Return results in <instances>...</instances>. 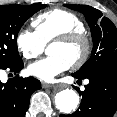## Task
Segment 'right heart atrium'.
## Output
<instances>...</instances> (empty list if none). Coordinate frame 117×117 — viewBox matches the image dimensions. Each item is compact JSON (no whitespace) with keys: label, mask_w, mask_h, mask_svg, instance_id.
Here are the masks:
<instances>
[{"label":"right heart atrium","mask_w":117,"mask_h":117,"mask_svg":"<svg viewBox=\"0 0 117 117\" xmlns=\"http://www.w3.org/2000/svg\"><path fill=\"white\" fill-rule=\"evenodd\" d=\"M20 54L25 59H34L43 53L45 44L34 31L21 29L15 39Z\"/></svg>","instance_id":"right-heart-atrium-1"}]
</instances>
